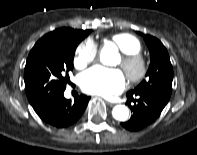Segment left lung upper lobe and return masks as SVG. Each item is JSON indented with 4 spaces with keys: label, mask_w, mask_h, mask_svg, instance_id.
I'll return each instance as SVG.
<instances>
[{
    "label": "left lung upper lobe",
    "mask_w": 197,
    "mask_h": 155,
    "mask_svg": "<svg viewBox=\"0 0 197 155\" xmlns=\"http://www.w3.org/2000/svg\"><path fill=\"white\" fill-rule=\"evenodd\" d=\"M149 48L151 62L143 80L131 94H146L168 102L172 92L173 68L164 45L151 35H144Z\"/></svg>",
    "instance_id": "left-lung-upper-lobe-1"
}]
</instances>
